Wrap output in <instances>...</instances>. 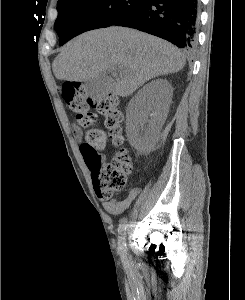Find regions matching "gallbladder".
<instances>
[{"instance_id":"obj_1","label":"gallbladder","mask_w":245,"mask_h":300,"mask_svg":"<svg viewBox=\"0 0 245 300\" xmlns=\"http://www.w3.org/2000/svg\"><path fill=\"white\" fill-rule=\"evenodd\" d=\"M114 84L115 81L110 76L100 74L84 83L85 94L94 100L103 99L112 91Z\"/></svg>"}]
</instances>
